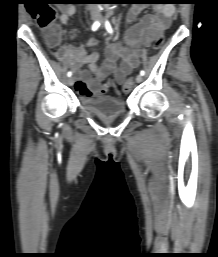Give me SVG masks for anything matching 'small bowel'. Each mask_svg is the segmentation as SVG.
I'll return each mask as SVG.
<instances>
[{"label":"small bowel","instance_id":"small-bowel-1","mask_svg":"<svg viewBox=\"0 0 218 257\" xmlns=\"http://www.w3.org/2000/svg\"><path fill=\"white\" fill-rule=\"evenodd\" d=\"M142 7L139 5L129 9L126 21H135ZM154 14H145L127 34L126 46L110 43L106 48V58L99 65V53H87V48L95 47L97 41L90 39L87 44L79 49L64 47L57 51L60 58L68 57L69 63L76 73L75 88L82 97L90 98L101 94V82H106L109 75H113L115 82L122 85L128 74L139 65V57L142 48L149 46L157 38L162 37L165 30L171 24L174 15L172 5H160L154 9ZM76 13V7L69 5L61 8L60 22L67 24ZM88 65L89 71L82 69ZM125 98V89H122V97Z\"/></svg>","mask_w":218,"mask_h":257}]
</instances>
